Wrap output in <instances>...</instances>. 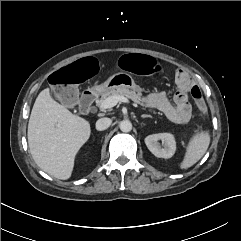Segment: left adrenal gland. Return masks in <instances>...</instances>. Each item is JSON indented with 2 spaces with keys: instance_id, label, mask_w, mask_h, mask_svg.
<instances>
[{
  "instance_id": "obj_1",
  "label": "left adrenal gland",
  "mask_w": 241,
  "mask_h": 241,
  "mask_svg": "<svg viewBox=\"0 0 241 241\" xmlns=\"http://www.w3.org/2000/svg\"><path fill=\"white\" fill-rule=\"evenodd\" d=\"M141 117H142V118H152L151 115H146V114H143Z\"/></svg>"
}]
</instances>
